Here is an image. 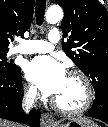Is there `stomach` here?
<instances>
[{
  "mask_svg": "<svg viewBox=\"0 0 108 127\" xmlns=\"http://www.w3.org/2000/svg\"><path fill=\"white\" fill-rule=\"evenodd\" d=\"M45 127H98V126L96 124H88L77 120H71L65 124H61L60 122H55L54 124L47 125Z\"/></svg>",
  "mask_w": 108,
  "mask_h": 127,
  "instance_id": "1",
  "label": "stomach"
}]
</instances>
